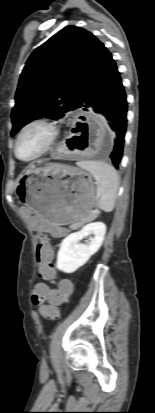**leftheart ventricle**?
Returning <instances> with one entry per match:
<instances>
[{
	"mask_svg": "<svg viewBox=\"0 0 155 413\" xmlns=\"http://www.w3.org/2000/svg\"><path fill=\"white\" fill-rule=\"evenodd\" d=\"M50 137V131L43 125L30 127L22 135L19 145L18 154L24 159H29L37 155L47 144Z\"/></svg>",
	"mask_w": 155,
	"mask_h": 413,
	"instance_id": "1",
	"label": "left heart ventricle"
}]
</instances>
